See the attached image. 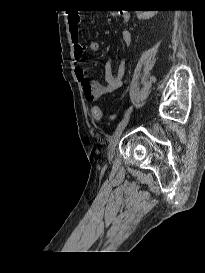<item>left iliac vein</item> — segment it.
<instances>
[{"instance_id": "1", "label": "left iliac vein", "mask_w": 205, "mask_h": 273, "mask_svg": "<svg viewBox=\"0 0 205 273\" xmlns=\"http://www.w3.org/2000/svg\"><path fill=\"white\" fill-rule=\"evenodd\" d=\"M130 120V114L126 117H124L121 122L118 124L110 142L108 145V150H107V157L109 160L113 159V156L115 154V149H116V145L119 141V138L124 130V128L126 127V125L128 124Z\"/></svg>"}]
</instances>
